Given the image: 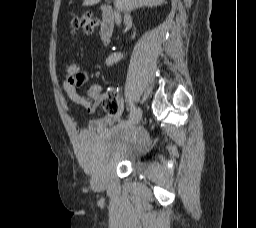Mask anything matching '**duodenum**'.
<instances>
[{
    "label": "duodenum",
    "instance_id": "410a0bca",
    "mask_svg": "<svg viewBox=\"0 0 256 228\" xmlns=\"http://www.w3.org/2000/svg\"><path fill=\"white\" fill-rule=\"evenodd\" d=\"M102 18L103 19H102L100 37L102 41L106 42L110 40L114 31L115 19H114V14L112 10L108 7H105L103 9Z\"/></svg>",
    "mask_w": 256,
    "mask_h": 228
}]
</instances>
